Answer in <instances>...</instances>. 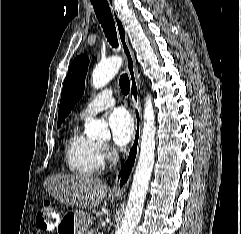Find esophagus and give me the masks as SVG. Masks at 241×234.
<instances>
[{
    "label": "esophagus",
    "instance_id": "34e87169",
    "mask_svg": "<svg viewBox=\"0 0 241 234\" xmlns=\"http://www.w3.org/2000/svg\"><path fill=\"white\" fill-rule=\"evenodd\" d=\"M107 2L110 6L111 13L115 22L121 50L126 58V71L130 80V102L132 106V114L135 121V128L131 146L126 154L124 162L117 171L116 179L112 188V194L121 196L125 193L131 180L134 168L136 166L140 147L142 116L134 54L130 47L123 22L121 21V19L119 18L118 14L114 9L113 0H107Z\"/></svg>",
    "mask_w": 241,
    "mask_h": 234
}]
</instances>
